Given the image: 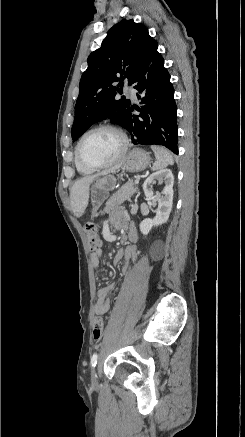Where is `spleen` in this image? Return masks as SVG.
Segmentation results:
<instances>
[{
	"mask_svg": "<svg viewBox=\"0 0 245 437\" xmlns=\"http://www.w3.org/2000/svg\"><path fill=\"white\" fill-rule=\"evenodd\" d=\"M151 149L153 150L156 161L152 166V170H160L166 168L168 165L174 164V158L172 153L162 146L152 145Z\"/></svg>",
	"mask_w": 245,
	"mask_h": 437,
	"instance_id": "1",
	"label": "spleen"
}]
</instances>
